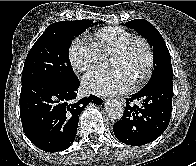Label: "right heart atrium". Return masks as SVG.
<instances>
[{"instance_id":"d8ad5b80","label":"right heart atrium","mask_w":196,"mask_h":166,"mask_svg":"<svg viewBox=\"0 0 196 166\" xmlns=\"http://www.w3.org/2000/svg\"><path fill=\"white\" fill-rule=\"evenodd\" d=\"M68 58L76 71L84 73L98 66L101 54L91 40L79 36L71 42Z\"/></svg>"}]
</instances>
